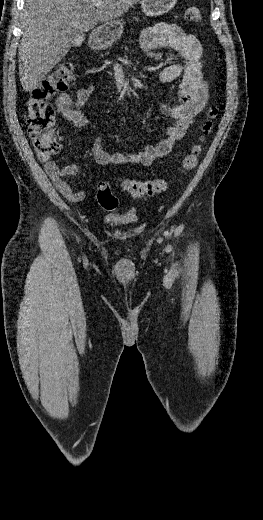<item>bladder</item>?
I'll use <instances>...</instances> for the list:
<instances>
[{
    "label": "bladder",
    "mask_w": 263,
    "mask_h": 520,
    "mask_svg": "<svg viewBox=\"0 0 263 520\" xmlns=\"http://www.w3.org/2000/svg\"><path fill=\"white\" fill-rule=\"evenodd\" d=\"M137 222V215L130 213L126 215L108 216L104 219V223L109 227L130 226Z\"/></svg>",
    "instance_id": "31cf9c89"
}]
</instances>
